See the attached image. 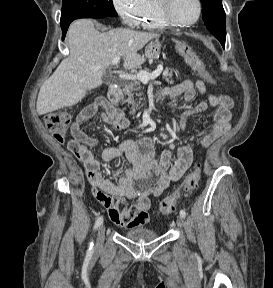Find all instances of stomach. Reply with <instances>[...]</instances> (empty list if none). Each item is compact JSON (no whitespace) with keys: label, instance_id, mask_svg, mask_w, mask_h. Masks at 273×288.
Here are the masks:
<instances>
[{"label":"stomach","instance_id":"stomach-1","mask_svg":"<svg viewBox=\"0 0 273 288\" xmlns=\"http://www.w3.org/2000/svg\"><path fill=\"white\" fill-rule=\"evenodd\" d=\"M161 44L158 40L150 42L145 48V55L149 59H156L160 55Z\"/></svg>","mask_w":273,"mask_h":288}]
</instances>
